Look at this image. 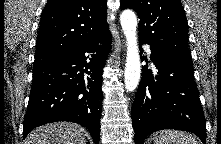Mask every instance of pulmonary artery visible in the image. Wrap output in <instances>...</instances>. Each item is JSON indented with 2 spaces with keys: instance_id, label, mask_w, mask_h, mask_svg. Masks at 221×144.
<instances>
[{
  "instance_id": "pulmonary-artery-1",
  "label": "pulmonary artery",
  "mask_w": 221,
  "mask_h": 144,
  "mask_svg": "<svg viewBox=\"0 0 221 144\" xmlns=\"http://www.w3.org/2000/svg\"><path fill=\"white\" fill-rule=\"evenodd\" d=\"M145 49H146L147 54L150 55V54H151V51H150L149 46L146 45V46H145Z\"/></svg>"
}]
</instances>
